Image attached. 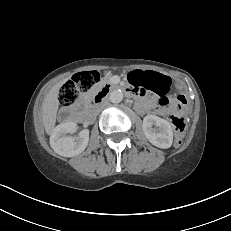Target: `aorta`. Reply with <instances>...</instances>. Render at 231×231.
Segmentation results:
<instances>
[{"instance_id": "obj_1", "label": "aorta", "mask_w": 231, "mask_h": 231, "mask_svg": "<svg viewBox=\"0 0 231 231\" xmlns=\"http://www.w3.org/2000/svg\"><path fill=\"white\" fill-rule=\"evenodd\" d=\"M110 101L112 103H120L123 100V92L120 89H115L110 92L109 95Z\"/></svg>"}]
</instances>
